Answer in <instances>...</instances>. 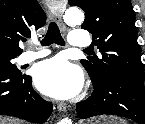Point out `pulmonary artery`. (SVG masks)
I'll use <instances>...</instances> for the list:
<instances>
[{
    "instance_id": "1",
    "label": "pulmonary artery",
    "mask_w": 145,
    "mask_h": 124,
    "mask_svg": "<svg viewBox=\"0 0 145 124\" xmlns=\"http://www.w3.org/2000/svg\"><path fill=\"white\" fill-rule=\"evenodd\" d=\"M91 39L89 33L82 29H73L69 38L70 47L87 48L90 45ZM49 54L47 49H40L37 51H26L22 53L19 58V62L22 64L30 63L39 58H42Z\"/></svg>"
}]
</instances>
